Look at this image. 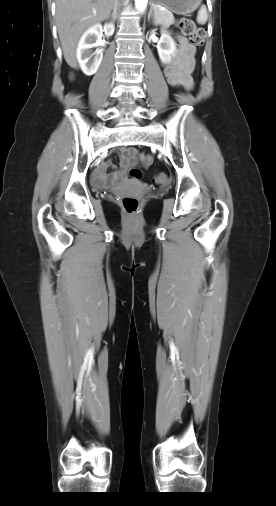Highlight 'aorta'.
Masks as SVG:
<instances>
[{
	"instance_id": "762f6f07",
	"label": "aorta",
	"mask_w": 276,
	"mask_h": 506,
	"mask_svg": "<svg viewBox=\"0 0 276 506\" xmlns=\"http://www.w3.org/2000/svg\"><path fill=\"white\" fill-rule=\"evenodd\" d=\"M148 0H135V7L140 13H144Z\"/></svg>"
}]
</instances>
